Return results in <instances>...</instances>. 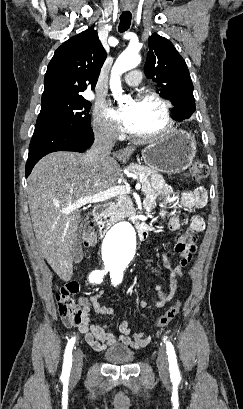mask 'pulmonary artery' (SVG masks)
Instances as JSON below:
<instances>
[{
	"instance_id": "obj_1",
	"label": "pulmonary artery",
	"mask_w": 243,
	"mask_h": 409,
	"mask_svg": "<svg viewBox=\"0 0 243 409\" xmlns=\"http://www.w3.org/2000/svg\"><path fill=\"white\" fill-rule=\"evenodd\" d=\"M141 73L138 70H132L125 76V83L129 86H136L140 83Z\"/></svg>"
}]
</instances>
